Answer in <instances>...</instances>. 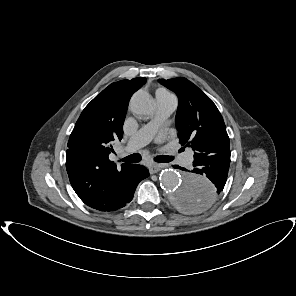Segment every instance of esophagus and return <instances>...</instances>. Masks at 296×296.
<instances>
[{"instance_id": "1", "label": "esophagus", "mask_w": 296, "mask_h": 296, "mask_svg": "<svg viewBox=\"0 0 296 296\" xmlns=\"http://www.w3.org/2000/svg\"><path fill=\"white\" fill-rule=\"evenodd\" d=\"M166 165L165 164H157V163H151L149 165V172L151 174L157 173L159 170L164 168Z\"/></svg>"}]
</instances>
